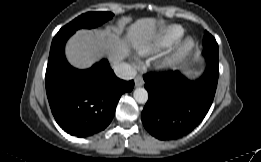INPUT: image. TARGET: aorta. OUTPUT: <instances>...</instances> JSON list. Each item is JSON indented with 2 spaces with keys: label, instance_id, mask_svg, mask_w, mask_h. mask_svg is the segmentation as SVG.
I'll return each mask as SVG.
<instances>
[{
  "label": "aorta",
  "instance_id": "762f6f07",
  "mask_svg": "<svg viewBox=\"0 0 261 162\" xmlns=\"http://www.w3.org/2000/svg\"><path fill=\"white\" fill-rule=\"evenodd\" d=\"M133 96L134 99L140 104H144L148 100V92L145 88H136L133 93Z\"/></svg>",
  "mask_w": 261,
  "mask_h": 162
}]
</instances>
